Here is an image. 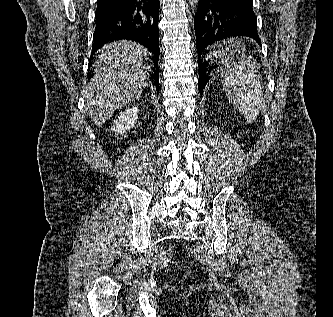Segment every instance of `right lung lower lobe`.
Here are the masks:
<instances>
[{"instance_id": "98d812e1", "label": "right lung lower lobe", "mask_w": 333, "mask_h": 317, "mask_svg": "<svg viewBox=\"0 0 333 317\" xmlns=\"http://www.w3.org/2000/svg\"><path fill=\"white\" fill-rule=\"evenodd\" d=\"M159 0L98 1L96 27L91 56L113 40H133L148 48L154 55L150 79L159 92Z\"/></svg>"}]
</instances>
